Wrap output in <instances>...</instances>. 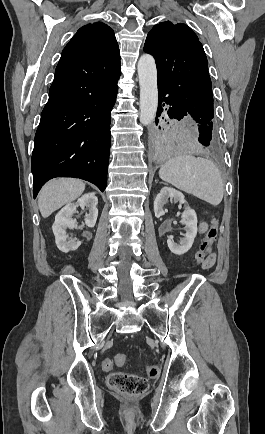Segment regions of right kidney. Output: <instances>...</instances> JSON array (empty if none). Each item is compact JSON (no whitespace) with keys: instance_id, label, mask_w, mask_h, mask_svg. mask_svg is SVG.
<instances>
[{"instance_id":"right-kidney-1","label":"right kidney","mask_w":265,"mask_h":434,"mask_svg":"<svg viewBox=\"0 0 265 434\" xmlns=\"http://www.w3.org/2000/svg\"><path fill=\"white\" fill-rule=\"evenodd\" d=\"M98 198L95 196V192H89L84 194L82 198L77 200L76 204H67L64 206L58 214L55 216V222L52 226L53 234L55 236V242L58 250L61 252H71V250H77L81 246V242H77L76 238L69 240L67 234V228L69 230H78L76 220H73V214L77 212V208H89V214L85 218V224L88 228H94L98 216L97 210Z\"/></svg>"}]
</instances>
